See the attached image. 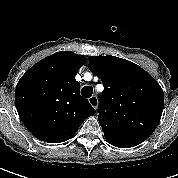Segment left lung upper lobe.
Here are the masks:
<instances>
[{
  "instance_id": "5c2ea615",
  "label": "left lung upper lobe",
  "mask_w": 178,
  "mask_h": 178,
  "mask_svg": "<svg viewBox=\"0 0 178 178\" xmlns=\"http://www.w3.org/2000/svg\"><path fill=\"white\" fill-rule=\"evenodd\" d=\"M90 71L104 85L98 120L106 140L120 148L134 147L156 129L164 106L158 82L138 65L115 56H90Z\"/></svg>"
}]
</instances>
